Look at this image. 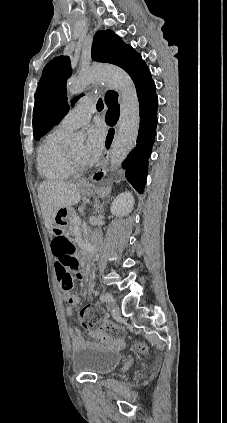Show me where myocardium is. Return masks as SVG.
Listing matches in <instances>:
<instances>
[{"label":"myocardium","mask_w":227,"mask_h":423,"mask_svg":"<svg viewBox=\"0 0 227 423\" xmlns=\"http://www.w3.org/2000/svg\"><path fill=\"white\" fill-rule=\"evenodd\" d=\"M68 157H69L71 166L73 168V171L75 172L84 171L87 168L84 162L80 161L77 157H75L71 150L68 151Z\"/></svg>","instance_id":"1"}]
</instances>
